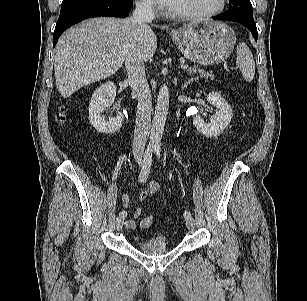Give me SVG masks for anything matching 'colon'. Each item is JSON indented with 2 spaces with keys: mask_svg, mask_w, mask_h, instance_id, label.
<instances>
[{
  "mask_svg": "<svg viewBox=\"0 0 307 301\" xmlns=\"http://www.w3.org/2000/svg\"><path fill=\"white\" fill-rule=\"evenodd\" d=\"M57 119L59 121H63L65 119L64 111L62 109L57 114ZM140 224L142 228H149L153 224V217L151 215L143 217Z\"/></svg>",
  "mask_w": 307,
  "mask_h": 301,
  "instance_id": "1",
  "label": "colon"
}]
</instances>
